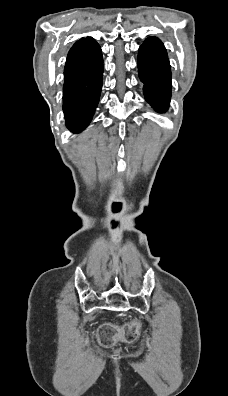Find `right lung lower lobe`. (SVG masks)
<instances>
[{
	"mask_svg": "<svg viewBox=\"0 0 228 396\" xmlns=\"http://www.w3.org/2000/svg\"><path fill=\"white\" fill-rule=\"evenodd\" d=\"M103 80L100 46L76 42L70 49L64 69L63 111L73 132L85 129L95 113Z\"/></svg>",
	"mask_w": 228,
	"mask_h": 396,
	"instance_id": "98d812e1",
	"label": "right lung lower lobe"
}]
</instances>
